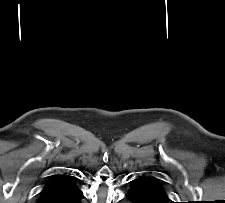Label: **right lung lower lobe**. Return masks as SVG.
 Listing matches in <instances>:
<instances>
[{"label":"right lung lower lobe","mask_w":225,"mask_h":203,"mask_svg":"<svg viewBox=\"0 0 225 203\" xmlns=\"http://www.w3.org/2000/svg\"><path fill=\"white\" fill-rule=\"evenodd\" d=\"M43 191H42V194H43ZM83 198H84L83 193L80 190L78 191V193L70 195V196L67 195L62 197H53L51 195H48V196L41 195L39 202L40 203H81Z\"/></svg>","instance_id":"98d812e1"}]
</instances>
